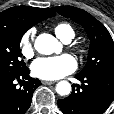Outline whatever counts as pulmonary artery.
<instances>
[{
    "label": "pulmonary artery",
    "instance_id": "e3ab8cb5",
    "mask_svg": "<svg viewBox=\"0 0 114 114\" xmlns=\"http://www.w3.org/2000/svg\"><path fill=\"white\" fill-rule=\"evenodd\" d=\"M70 40H71V39H67V40H65L64 42H65V43H68V42H70Z\"/></svg>",
    "mask_w": 114,
    "mask_h": 114
}]
</instances>
